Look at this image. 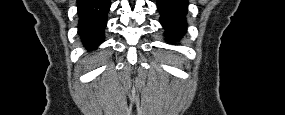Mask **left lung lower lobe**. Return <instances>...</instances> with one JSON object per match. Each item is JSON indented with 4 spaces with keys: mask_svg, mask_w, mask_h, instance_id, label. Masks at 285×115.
<instances>
[{
    "mask_svg": "<svg viewBox=\"0 0 285 115\" xmlns=\"http://www.w3.org/2000/svg\"><path fill=\"white\" fill-rule=\"evenodd\" d=\"M157 9L167 41L175 43L187 31L188 2L185 0H158Z\"/></svg>",
    "mask_w": 285,
    "mask_h": 115,
    "instance_id": "obj_1",
    "label": "left lung lower lobe"
}]
</instances>
